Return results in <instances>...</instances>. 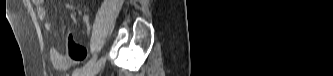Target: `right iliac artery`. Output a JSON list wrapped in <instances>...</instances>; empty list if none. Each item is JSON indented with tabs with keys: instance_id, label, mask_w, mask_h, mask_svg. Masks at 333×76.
<instances>
[{
	"instance_id": "1",
	"label": "right iliac artery",
	"mask_w": 333,
	"mask_h": 76,
	"mask_svg": "<svg viewBox=\"0 0 333 76\" xmlns=\"http://www.w3.org/2000/svg\"><path fill=\"white\" fill-rule=\"evenodd\" d=\"M96 60V56H94L93 58H91L83 67H81L80 69H76L73 72V76H81L84 72H86L87 70H89L92 65L94 64Z\"/></svg>"
}]
</instances>
